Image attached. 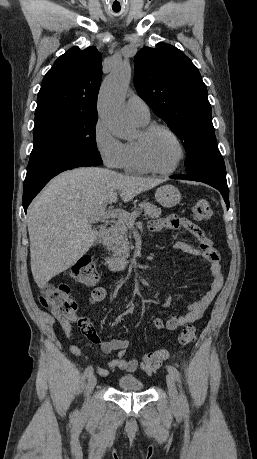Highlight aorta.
Here are the masks:
<instances>
[{
    "label": "aorta",
    "mask_w": 257,
    "mask_h": 459,
    "mask_svg": "<svg viewBox=\"0 0 257 459\" xmlns=\"http://www.w3.org/2000/svg\"><path fill=\"white\" fill-rule=\"evenodd\" d=\"M131 80V68L120 63L102 83L98 111L102 122L111 133L123 140L135 137V126L125 111L124 98Z\"/></svg>",
    "instance_id": "762f6f07"
}]
</instances>
